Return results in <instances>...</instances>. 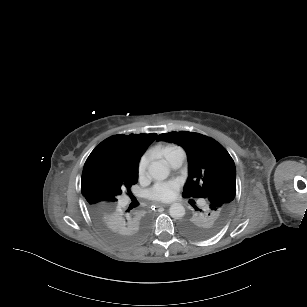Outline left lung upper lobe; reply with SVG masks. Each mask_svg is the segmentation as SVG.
Listing matches in <instances>:
<instances>
[{"mask_svg": "<svg viewBox=\"0 0 307 307\" xmlns=\"http://www.w3.org/2000/svg\"><path fill=\"white\" fill-rule=\"evenodd\" d=\"M157 140L176 143L187 153L189 177L183 197L191 199L196 212L181 223L182 232L194 239L213 235L224 225L236 193L233 159L217 141L198 133L170 132L160 134ZM195 198L206 199L207 206L197 208L192 200Z\"/></svg>", "mask_w": 307, "mask_h": 307, "instance_id": "obj_1", "label": "left lung upper lobe"}]
</instances>
